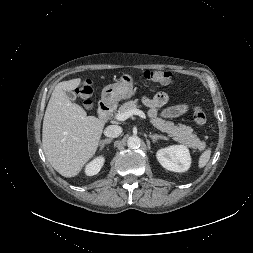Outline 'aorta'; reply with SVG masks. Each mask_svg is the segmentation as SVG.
Instances as JSON below:
<instances>
[{
	"mask_svg": "<svg viewBox=\"0 0 253 253\" xmlns=\"http://www.w3.org/2000/svg\"><path fill=\"white\" fill-rule=\"evenodd\" d=\"M141 144V139L138 136H130L127 140V145L130 148H137Z\"/></svg>",
	"mask_w": 253,
	"mask_h": 253,
	"instance_id": "762f6f07",
	"label": "aorta"
}]
</instances>
